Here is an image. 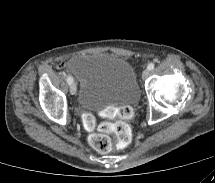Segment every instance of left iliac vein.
Wrapping results in <instances>:
<instances>
[{
  "instance_id": "1",
  "label": "left iliac vein",
  "mask_w": 215,
  "mask_h": 183,
  "mask_svg": "<svg viewBox=\"0 0 215 183\" xmlns=\"http://www.w3.org/2000/svg\"><path fill=\"white\" fill-rule=\"evenodd\" d=\"M150 71L148 69L144 70L142 73V79L145 80L148 78Z\"/></svg>"
}]
</instances>
